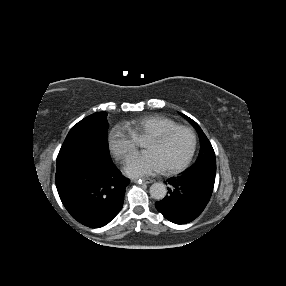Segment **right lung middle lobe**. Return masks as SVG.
<instances>
[{
	"label": "right lung middle lobe",
	"mask_w": 286,
	"mask_h": 286,
	"mask_svg": "<svg viewBox=\"0 0 286 286\" xmlns=\"http://www.w3.org/2000/svg\"><path fill=\"white\" fill-rule=\"evenodd\" d=\"M107 113L97 112L82 119L69 131L57 158L73 153L109 156Z\"/></svg>",
	"instance_id": "obj_1"
}]
</instances>
